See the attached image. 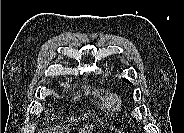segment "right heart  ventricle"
<instances>
[{
    "label": "right heart ventricle",
    "mask_w": 184,
    "mask_h": 133,
    "mask_svg": "<svg viewBox=\"0 0 184 133\" xmlns=\"http://www.w3.org/2000/svg\"><path fill=\"white\" fill-rule=\"evenodd\" d=\"M109 102H110L111 104H113V103H114V100H113V99H109Z\"/></svg>",
    "instance_id": "e07e8e85"
}]
</instances>
